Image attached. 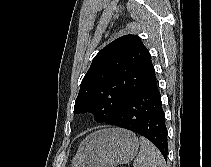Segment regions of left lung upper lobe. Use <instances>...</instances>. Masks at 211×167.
I'll return each instance as SVG.
<instances>
[{"label": "left lung upper lobe", "instance_id": "5c2ea615", "mask_svg": "<svg viewBox=\"0 0 211 167\" xmlns=\"http://www.w3.org/2000/svg\"><path fill=\"white\" fill-rule=\"evenodd\" d=\"M155 70L150 53L137 35H124L99 51L84 76L74 113L90 112L97 122L111 120Z\"/></svg>", "mask_w": 211, "mask_h": 167}]
</instances>
